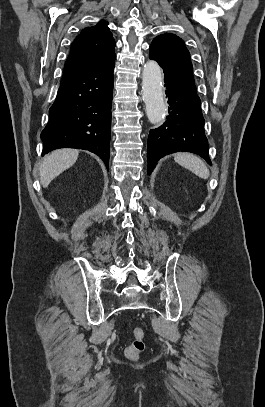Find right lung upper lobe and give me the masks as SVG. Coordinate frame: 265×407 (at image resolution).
<instances>
[{
  "mask_svg": "<svg viewBox=\"0 0 265 407\" xmlns=\"http://www.w3.org/2000/svg\"><path fill=\"white\" fill-rule=\"evenodd\" d=\"M107 24V21L100 20L95 26L84 28L76 37L64 66L62 80L76 76L115 55V41Z\"/></svg>",
  "mask_w": 265,
  "mask_h": 407,
  "instance_id": "1",
  "label": "right lung upper lobe"
}]
</instances>
